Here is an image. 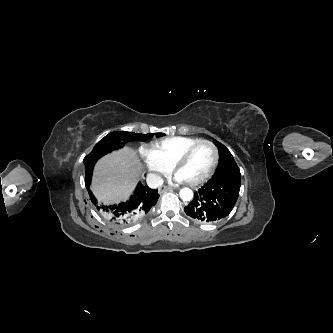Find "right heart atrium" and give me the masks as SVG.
<instances>
[{"label":"right heart atrium","mask_w":333,"mask_h":333,"mask_svg":"<svg viewBox=\"0 0 333 333\" xmlns=\"http://www.w3.org/2000/svg\"><path fill=\"white\" fill-rule=\"evenodd\" d=\"M139 154L148 170V174L152 180H159L161 176L168 174L169 168L166 167L157 157L152 149L142 147Z\"/></svg>","instance_id":"1"}]
</instances>
